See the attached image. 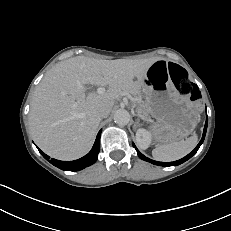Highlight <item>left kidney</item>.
<instances>
[{
	"label": "left kidney",
	"instance_id": "1",
	"mask_svg": "<svg viewBox=\"0 0 231 231\" xmlns=\"http://www.w3.org/2000/svg\"><path fill=\"white\" fill-rule=\"evenodd\" d=\"M136 142L141 149H147L151 142V135L145 129H138L136 132Z\"/></svg>",
	"mask_w": 231,
	"mask_h": 231
}]
</instances>
